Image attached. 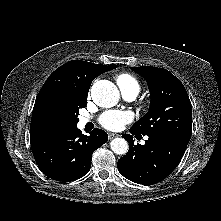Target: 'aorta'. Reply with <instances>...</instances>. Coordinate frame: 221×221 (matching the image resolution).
<instances>
[{
    "instance_id": "762f6f07",
    "label": "aorta",
    "mask_w": 221,
    "mask_h": 221,
    "mask_svg": "<svg viewBox=\"0 0 221 221\" xmlns=\"http://www.w3.org/2000/svg\"><path fill=\"white\" fill-rule=\"evenodd\" d=\"M91 97L96 105L110 108L115 106L119 101V91L112 82L99 80L92 86ZM110 147L114 153L124 155L127 153L129 146L125 139L114 138L110 142Z\"/></svg>"
}]
</instances>
